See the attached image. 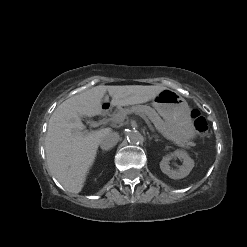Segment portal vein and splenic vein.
Masks as SVG:
<instances>
[{
	"instance_id": "obj_1",
	"label": "portal vein and splenic vein",
	"mask_w": 247,
	"mask_h": 247,
	"mask_svg": "<svg viewBox=\"0 0 247 247\" xmlns=\"http://www.w3.org/2000/svg\"><path fill=\"white\" fill-rule=\"evenodd\" d=\"M140 117H142L145 120V122L147 123L148 127L150 128V130L154 131L153 126L151 125V123L148 120V118L144 114H140ZM123 120H124V118L119 116V115L113 119L114 122H121Z\"/></svg>"
}]
</instances>
